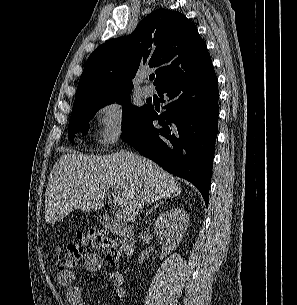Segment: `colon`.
<instances>
[{
	"label": "colon",
	"mask_w": 297,
	"mask_h": 305,
	"mask_svg": "<svg viewBox=\"0 0 297 305\" xmlns=\"http://www.w3.org/2000/svg\"><path fill=\"white\" fill-rule=\"evenodd\" d=\"M98 250L106 255L109 264L115 265L120 259V248L106 231L88 230L79 233L75 240L60 245L55 250V265L60 271L73 269L87 257V251Z\"/></svg>",
	"instance_id": "1"
}]
</instances>
